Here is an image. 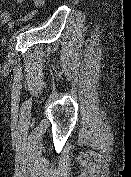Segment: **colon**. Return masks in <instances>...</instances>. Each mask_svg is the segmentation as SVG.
Returning <instances> with one entry per match:
<instances>
[{"mask_svg":"<svg viewBox=\"0 0 131 177\" xmlns=\"http://www.w3.org/2000/svg\"><path fill=\"white\" fill-rule=\"evenodd\" d=\"M38 2L42 5L44 4V0H39Z\"/></svg>","mask_w":131,"mask_h":177,"instance_id":"5ec220e1","label":"colon"}]
</instances>
